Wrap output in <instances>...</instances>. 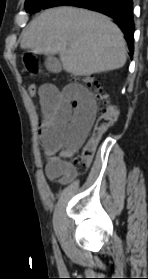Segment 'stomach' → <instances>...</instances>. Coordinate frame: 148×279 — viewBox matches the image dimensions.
Masks as SVG:
<instances>
[{"label": "stomach", "instance_id": "0dacf381", "mask_svg": "<svg viewBox=\"0 0 148 279\" xmlns=\"http://www.w3.org/2000/svg\"><path fill=\"white\" fill-rule=\"evenodd\" d=\"M25 53L22 58L25 75H29V78H46V75H50L47 64H44L43 58H39V54H35V50H26Z\"/></svg>", "mask_w": 148, "mask_h": 279}]
</instances>
